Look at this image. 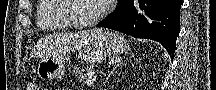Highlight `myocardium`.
I'll return each instance as SVG.
<instances>
[{
	"label": "myocardium",
	"instance_id": "obj_1",
	"mask_svg": "<svg viewBox=\"0 0 216 90\" xmlns=\"http://www.w3.org/2000/svg\"><path fill=\"white\" fill-rule=\"evenodd\" d=\"M76 0H62L58 14H61L60 18H65L72 28H93L94 25L99 23L106 16L109 6L105 1H101V8L99 13L90 20H78L72 15L73 3Z\"/></svg>",
	"mask_w": 216,
	"mask_h": 90
}]
</instances>
